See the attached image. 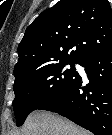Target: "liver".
Instances as JSON below:
<instances>
[{
    "label": "liver",
    "mask_w": 112,
    "mask_h": 135,
    "mask_svg": "<svg viewBox=\"0 0 112 135\" xmlns=\"http://www.w3.org/2000/svg\"><path fill=\"white\" fill-rule=\"evenodd\" d=\"M17 135H91L71 121L45 111H34Z\"/></svg>",
    "instance_id": "6515ba94"
}]
</instances>
